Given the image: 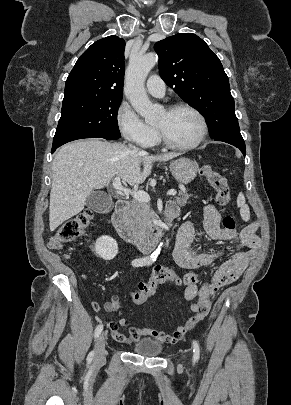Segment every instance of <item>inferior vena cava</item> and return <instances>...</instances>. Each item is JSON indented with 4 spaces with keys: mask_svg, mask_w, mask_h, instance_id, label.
<instances>
[{
    "mask_svg": "<svg viewBox=\"0 0 291 405\" xmlns=\"http://www.w3.org/2000/svg\"><path fill=\"white\" fill-rule=\"evenodd\" d=\"M130 147H132L134 150H138L136 147H134V146H132V145H130Z\"/></svg>",
    "mask_w": 291,
    "mask_h": 405,
    "instance_id": "inferior-vena-cava-1",
    "label": "inferior vena cava"
}]
</instances>
